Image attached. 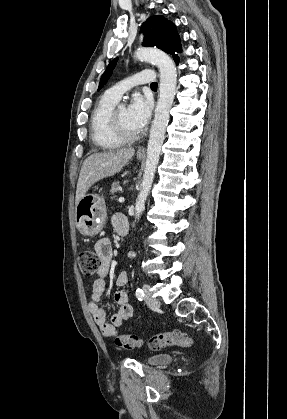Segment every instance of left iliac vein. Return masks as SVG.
Segmentation results:
<instances>
[{"label": "left iliac vein", "instance_id": "obj_1", "mask_svg": "<svg viewBox=\"0 0 287 419\" xmlns=\"http://www.w3.org/2000/svg\"><path fill=\"white\" fill-rule=\"evenodd\" d=\"M143 290L145 292V303L151 308H157L160 305V302L157 298L153 297L148 285L143 286Z\"/></svg>", "mask_w": 287, "mask_h": 419}]
</instances>
